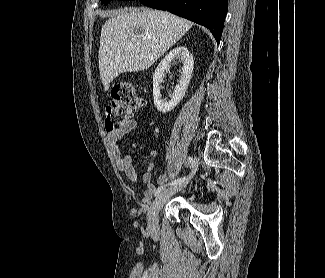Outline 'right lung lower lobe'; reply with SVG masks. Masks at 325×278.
Listing matches in <instances>:
<instances>
[{
	"mask_svg": "<svg viewBox=\"0 0 325 278\" xmlns=\"http://www.w3.org/2000/svg\"><path fill=\"white\" fill-rule=\"evenodd\" d=\"M151 8L169 11L207 27L220 42L228 0H140Z\"/></svg>",
	"mask_w": 325,
	"mask_h": 278,
	"instance_id": "right-lung-lower-lobe-1",
	"label": "right lung lower lobe"
}]
</instances>
